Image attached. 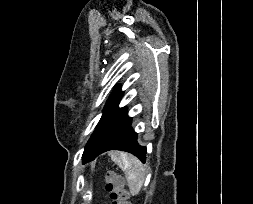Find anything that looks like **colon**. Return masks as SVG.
Segmentation results:
<instances>
[{
    "mask_svg": "<svg viewBox=\"0 0 253 204\" xmlns=\"http://www.w3.org/2000/svg\"><path fill=\"white\" fill-rule=\"evenodd\" d=\"M105 189L109 195L111 204H130L129 194L125 188L122 177L113 172H108L104 176Z\"/></svg>",
    "mask_w": 253,
    "mask_h": 204,
    "instance_id": "colon-1",
    "label": "colon"
}]
</instances>
